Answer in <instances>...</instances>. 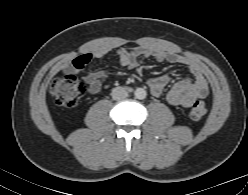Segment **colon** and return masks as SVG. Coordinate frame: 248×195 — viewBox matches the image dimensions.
I'll list each match as a JSON object with an SVG mask.
<instances>
[{
  "label": "colon",
  "instance_id": "1",
  "mask_svg": "<svg viewBox=\"0 0 248 195\" xmlns=\"http://www.w3.org/2000/svg\"><path fill=\"white\" fill-rule=\"evenodd\" d=\"M49 90L59 106L70 108L77 104L84 92V85L74 75L68 74L55 78L51 82ZM206 112V104L201 100H197L191 107L190 116L192 119L197 120L202 118Z\"/></svg>",
  "mask_w": 248,
  "mask_h": 195
}]
</instances>
